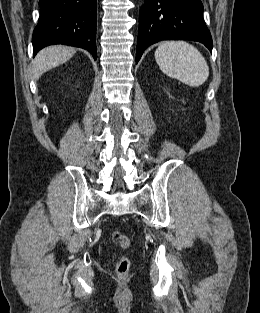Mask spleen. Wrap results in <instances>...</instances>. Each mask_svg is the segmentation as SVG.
<instances>
[{
  "mask_svg": "<svg viewBox=\"0 0 260 313\" xmlns=\"http://www.w3.org/2000/svg\"><path fill=\"white\" fill-rule=\"evenodd\" d=\"M161 71L190 87L201 86L209 76V67L196 47L185 41H165L155 51Z\"/></svg>",
  "mask_w": 260,
  "mask_h": 313,
  "instance_id": "3e777b00",
  "label": "spleen"
}]
</instances>
